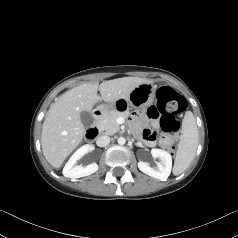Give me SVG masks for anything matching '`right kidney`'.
I'll list each match as a JSON object with an SVG mask.
<instances>
[{"label": "right kidney", "instance_id": "obj_1", "mask_svg": "<svg viewBox=\"0 0 238 238\" xmlns=\"http://www.w3.org/2000/svg\"><path fill=\"white\" fill-rule=\"evenodd\" d=\"M90 150L91 146L88 144L76 150L63 168V175L68 178H80L95 173L98 170V165L96 163L89 164L85 167L76 165V162Z\"/></svg>", "mask_w": 238, "mask_h": 238}]
</instances>
